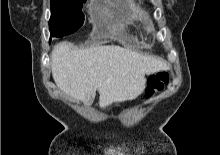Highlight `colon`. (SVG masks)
Listing matches in <instances>:
<instances>
[{
	"mask_svg": "<svg viewBox=\"0 0 220 155\" xmlns=\"http://www.w3.org/2000/svg\"><path fill=\"white\" fill-rule=\"evenodd\" d=\"M169 76L165 71L158 72L157 74L151 75L148 78L147 88L145 91L146 97H152L154 94L163 90V88L168 84Z\"/></svg>",
	"mask_w": 220,
	"mask_h": 155,
	"instance_id": "5ec220e1",
	"label": "colon"
}]
</instances>
